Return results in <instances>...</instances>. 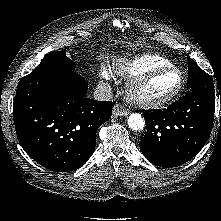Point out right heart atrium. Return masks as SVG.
<instances>
[{
  "label": "right heart atrium",
  "instance_id": "1",
  "mask_svg": "<svg viewBox=\"0 0 221 221\" xmlns=\"http://www.w3.org/2000/svg\"><path fill=\"white\" fill-rule=\"evenodd\" d=\"M100 76L104 79H108L109 78V72L107 70V68L103 67L100 71Z\"/></svg>",
  "mask_w": 221,
  "mask_h": 221
}]
</instances>
